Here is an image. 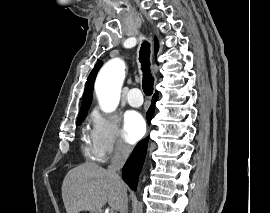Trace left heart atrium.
<instances>
[{"label":"left heart atrium","mask_w":270,"mask_h":213,"mask_svg":"<svg viewBox=\"0 0 270 213\" xmlns=\"http://www.w3.org/2000/svg\"><path fill=\"white\" fill-rule=\"evenodd\" d=\"M146 125L142 115L138 112H129L124 117L122 137L129 144L136 143L145 133Z\"/></svg>","instance_id":"1"}]
</instances>
